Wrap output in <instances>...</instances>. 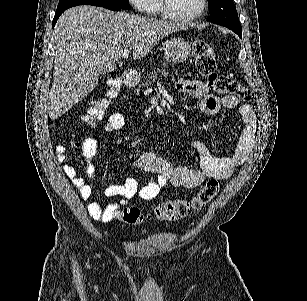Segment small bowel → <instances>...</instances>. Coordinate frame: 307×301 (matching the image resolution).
I'll use <instances>...</instances> for the list:
<instances>
[{"label":"small bowel","instance_id":"1","mask_svg":"<svg viewBox=\"0 0 307 301\" xmlns=\"http://www.w3.org/2000/svg\"><path fill=\"white\" fill-rule=\"evenodd\" d=\"M176 87L179 92L199 99L201 110L208 115L217 114L222 108L234 109L239 107L243 127L233 155L218 157L211 154L201 142L190 141L186 144V147L195 151L200 161V170H194L186 166L175 167L153 152H143L136 159L135 165L141 170L155 173L156 177L152 178L142 188L138 187L134 178L128 177L122 184L107 187L105 194L108 197H121V204H126L136 195L144 200H152L169 183L176 187L195 188L209 178L226 179L248 158L256 133V114L249 104H240L239 100L232 95H226L222 98L215 96L209 92L207 85L202 81L180 79L177 81ZM124 123L125 118L122 113H113L105 124V130L107 132L119 130L124 126ZM97 149L98 142L96 139L86 138L83 141L86 171L90 177L95 171L92 160L97 153ZM66 153L67 148L64 145L56 147V156L62 163L65 174L77 188L80 196L84 200H89L92 196V188L78 175L76 168L66 161ZM118 207L119 204L102 206L91 201L87 204V211L93 219L108 222L112 219Z\"/></svg>","mask_w":307,"mask_h":301}]
</instances>
